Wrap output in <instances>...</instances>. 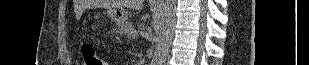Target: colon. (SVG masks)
<instances>
[{
	"label": "colon",
	"instance_id": "5ec220e1",
	"mask_svg": "<svg viewBox=\"0 0 309 65\" xmlns=\"http://www.w3.org/2000/svg\"><path fill=\"white\" fill-rule=\"evenodd\" d=\"M82 55L85 65H103L95 48L89 44H84L82 46Z\"/></svg>",
	"mask_w": 309,
	"mask_h": 65
}]
</instances>
